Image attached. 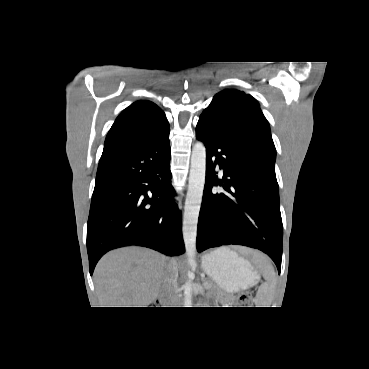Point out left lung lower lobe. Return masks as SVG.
<instances>
[{
    "label": "left lung lower lobe",
    "instance_id": "left-lung-lower-lobe-1",
    "mask_svg": "<svg viewBox=\"0 0 369 369\" xmlns=\"http://www.w3.org/2000/svg\"><path fill=\"white\" fill-rule=\"evenodd\" d=\"M197 139L206 146V179L198 219L197 250L243 245L269 255L281 270L283 226L275 169L252 147L200 117ZM224 170L220 180L215 167ZM224 191H212L213 186Z\"/></svg>",
    "mask_w": 369,
    "mask_h": 369
}]
</instances>
